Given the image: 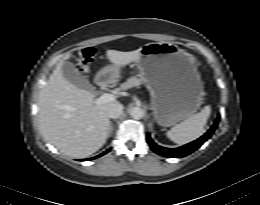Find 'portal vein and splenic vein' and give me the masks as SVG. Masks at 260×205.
Wrapping results in <instances>:
<instances>
[{
  "label": "portal vein and splenic vein",
  "instance_id": "portal-vein-and-splenic-vein-1",
  "mask_svg": "<svg viewBox=\"0 0 260 205\" xmlns=\"http://www.w3.org/2000/svg\"><path fill=\"white\" fill-rule=\"evenodd\" d=\"M116 96L110 93H103L99 98L95 100V104H102L115 101Z\"/></svg>",
  "mask_w": 260,
  "mask_h": 205
}]
</instances>
